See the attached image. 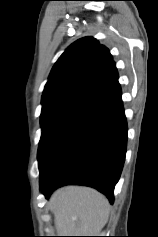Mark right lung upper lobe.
I'll list each match as a JSON object with an SVG mask.
<instances>
[{"label": "right lung upper lobe", "instance_id": "obj_1", "mask_svg": "<svg viewBox=\"0 0 158 237\" xmlns=\"http://www.w3.org/2000/svg\"><path fill=\"white\" fill-rule=\"evenodd\" d=\"M117 80V69L109 50L92 37L81 38L55 63L42 102L69 99L84 104Z\"/></svg>", "mask_w": 158, "mask_h": 237}]
</instances>
